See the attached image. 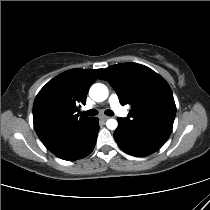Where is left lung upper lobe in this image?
I'll use <instances>...</instances> for the list:
<instances>
[{
  "instance_id": "1",
  "label": "left lung upper lobe",
  "mask_w": 210,
  "mask_h": 210,
  "mask_svg": "<svg viewBox=\"0 0 210 210\" xmlns=\"http://www.w3.org/2000/svg\"><path fill=\"white\" fill-rule=\"evenodd\" d=\"M101 79L108 81L121 104H130L127 118H119L130 129L169 136L176 106L168 83L155 71L138 63L106 68Z\"/></svg>"
}]
</instances>
